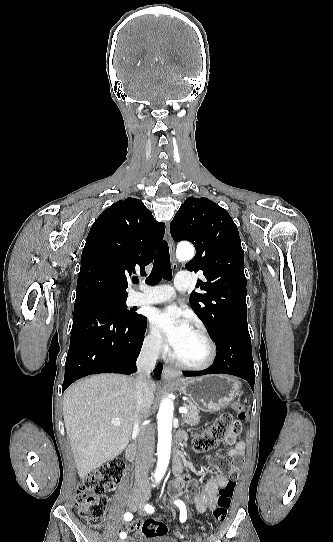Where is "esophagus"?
Instances as JSON below:
<instances>
[{
	"label": "esophagus",
	"instance_id": "1",
	"mask_svg": "<svg viewBox=\"0 0 333 542\" xmlns=\"http://www.w3.org/2000/svg\"><path fill=\"white\" fill-rule=\"evenodd\" d=\"M166 238L168 240V243H169V250H170V253L173 257V262H172V267L173 269H176L177 268V262L175 261L174 259V252H175V246H174V242L170 236V231H169V224L167 223L166 224ZM182 375V372L174 367H171V366H165L164 369H163V373H162V377L166 380H172V379H175V378H178Z\"/></svg>",
	"mask_w": 333,
	"mask_h": 542
}]
</instances>
